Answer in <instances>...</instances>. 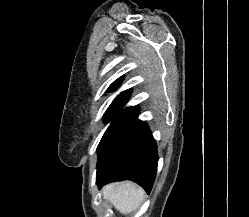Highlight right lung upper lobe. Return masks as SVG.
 Wrapping results in <instances>:
<instances>
[{
    "label": "right lung upper lobe",
    "instance_id": "right-lung-upper-lobe-1",
    "mask_svg": "<svg viewBox=\"0 0 249 217\" xmlns=\"http://www.w3.org/2000/svg\"><path fill=\"white\" fill-rule=\"evenodd\" d=\"M122 80H123V78L120 77V78H118L116 81H114V82L110 85V87L108 88L107 92H111V91H113L114 89H116L117 86L120 85V83L122 82ZM129 91H130V90L124 91L123 94H121L120 96L126 94V93L129 92Z\"/></svg>",
    "mask_w": 249,
    "mask_h": 217
}]
</instances>
